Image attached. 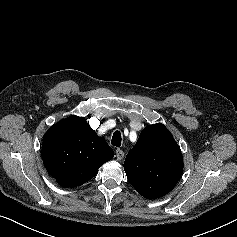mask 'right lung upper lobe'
Here are the masks:
<instances>
[{"label":"right lung upper lobe","instance_id":"right-lung-upper-lobe-1","mask_svg":"<svg viewBox=\"0 0 237 237\" xmlns=\"http://www.w3.org/2000/svg\"><path fill=\"white\" fill-rule=\"evenodd\" d=\"M113 155L112 148L84 117L69 116L50 127L43 137L44 166L63 187L88 182Z\"/></svg>","mask_w":237,"mask_h":237}]
</instances>
